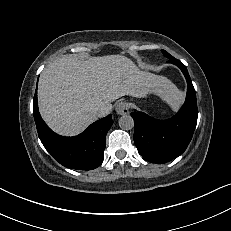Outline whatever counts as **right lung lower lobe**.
Masks as SVG:
<instances>
[{
    "label": "right lung lower lobe",
    "instance_id": "right-lung-lower-lobe-1",
    "mask_svg": "<svg viewBox=\"0 0 231 231\" xmlns=\"http://www.w3.org/2000/svg\"><path fill=\"white\" fill-rule=\"evenodd\" d=\"M33 115L42 144L61 165L77 170H92L101 164L106 134L113 124L111 114L94 122L78 136L63 137L54 133L42 120L36 92Z\"/></svg>",
    "mask_w": 231,
    "mask_h": 231
}]
</instances>
